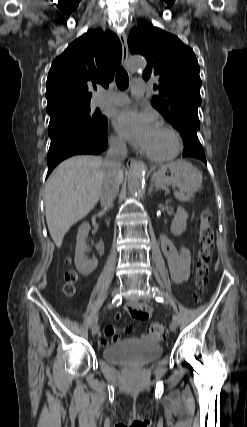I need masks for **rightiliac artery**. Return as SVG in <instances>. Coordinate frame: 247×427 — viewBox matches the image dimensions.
<instances>
[{
    "instance_id": "right-iliac-artery-1",
    "label": "right iliac artery",
    "mask_w": 247,
    "mask_h": 427,
    "mask_svg": "<svg viewBox=\"0 0 247 427\" xmlns=\"http://www.w3.org/2000/svg\"><path fill=\"white\" fill-rule=\"evenodd\" d=\"M121 302H122V298H121V296L117 295V296L112 300V303H110V304H108V305H107V308L111 309L112 307L119 306V305L121 304ZM97 321H98V316H95V317L93 318V320H92L91 326H92L94 323H96Z\"/></svg>"
}]
</instances>
